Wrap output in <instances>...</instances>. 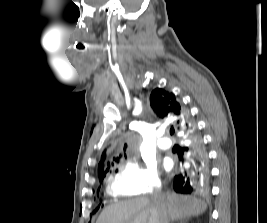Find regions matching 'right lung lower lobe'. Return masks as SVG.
I'll list each match as a JSON object with an SVG mask.
<instances>
[{"label":"right lung lower lobe","mask_w":267,"mask_h":223,"mask_svg":"<svg viewBox=\"0 0 267 223\" xmlns=\"http://www.w3.org/2000/svg\"><path fill=\"white\" fill-rule=\"evenodd\" d=\"M185 134L184 139L189 144L184 150L188 152L190 167L175 175L173 187L178 193L191 194L206 187L210 179V168L209 160L196 126L194 129L188 127Z\"/></svg>","instance_id":"right-lung-lower-lobe-1"}]
</instances>
